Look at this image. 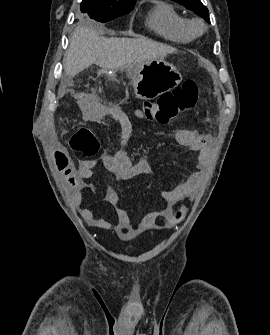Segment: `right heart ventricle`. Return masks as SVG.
<instances>
[{
  "label": "right heart ventricle",
  "instance_id": "e07e8e85",
  "mask_svg": "<svg viewBox=\"0 0 270 335\" xmlns=\"http://www.w3.org/2000/svg\"><path fill=\"white\" fill-rule=\"evenodd\" d=\"M147 25L156 34L176 43H187L195 37L187 18L164 2L156 3L151 9Z\"/></svg>",
  "mask_w": 270,
  "mask_h": 335
}]
</instances>
